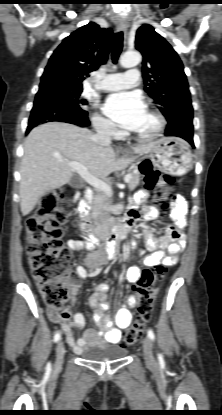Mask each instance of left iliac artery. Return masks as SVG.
I'll use <instances>...</instances> for the list:
<instances>
[{"label": "left iliac artery", "mask_w": 222, "mask_h": 415, "mask_svg": "<svg viewBox=\"0 0 222 415\" xmlns=\"http://www.w3.org/2000/svg\"><path fill=\"white\" fill-rule=\"evenodd\" d=\"M148 336H149V338H150L152 341H154V339H155V334H154V332H153L151 329L148 331Z\"/></svg>", "instance_id": "left-iliac-artery-1"}]
</instances>
